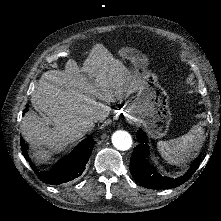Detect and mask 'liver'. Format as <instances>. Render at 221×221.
Segmentation results:
<instances>
[{"instance_id": "6515ba94", "label": "liver", "mask_w": 221, "mask_h": 221, "mask_svg": "<svg viewBox=\"0 0 221 221\" xmlns=\"http://www.w3.org/2000/svg\"><path fill=\"white\" fill-rule=\"evenodd\" d=\"M82 71L95 77L94 81L89 83L69 60L64 71L44 72L31 94L32 105L54 124L50 128L36 113L22 118V136L33 146L32 157L39 162H47L52 153L63 151L90 131V117L113 97L121 98L129 86L138 89L139 82L102 44L92 48Z\"/></svg>"}]
</instances>
